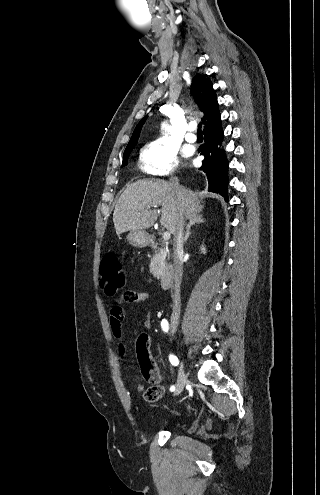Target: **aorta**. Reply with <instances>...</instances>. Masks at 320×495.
<instances>
[{"mask_svg": "<svg viewBox=\"0 0 320 495\" xmlns=\"http://www.w3.org/2000/svg\"><path fill=\"white\" fill-rule=\"evenodd\" d=\"M162 127H163V128H166V125H165V124H163V125H162Z\"/></svg>", "mask_w": 320, "mask_h": 495, "instance_id": "obj_1", "label": "aorta"}]
</instances>
